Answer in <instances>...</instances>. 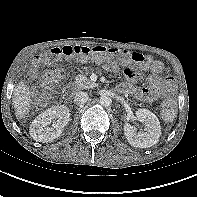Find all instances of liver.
Returning a JSON list of instances; mask_svg holds the SVG:
<instances>
[{
  "mask_svg": "<svg viewBox=\"0 0 197 197\" xmlns=\"http://www.w3.org/2000/svg\"><path fill=\"white\" fill-rule=\"evenodd\" d=\"M29 87L23 82H19L14 88L13 92V104L15 109V115L17 118L22 119L29 113L31 104Z\"/></svg>",
  "mask_w": 197,
  "mask_h": 197,
  "instance_id": "6515ba94",
  "label": "liver"
}]
</instances>
